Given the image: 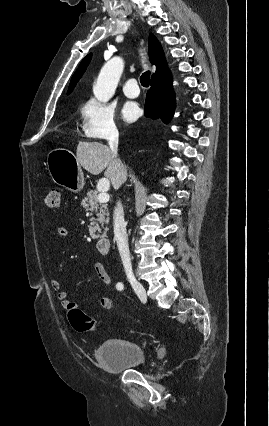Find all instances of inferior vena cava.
I'll return each instance as SVG.
<instances>
[{"mask_svg":"<svg viewBox=\"0 0 269 426\" xmlns=\"http://www.w3.org/2000/svg\"><path fill=\"white\" fill-rule=\"evenodd\" d=\"M118 131H112L108 138L110 150L112 151L115 158H117L118 150ZM120 168H123V164L119 161ZM114 234L117 241L118 250L124 265L125 272L127 275H132L131 258L128 247V237L126 232V223L124 220V211L120 201L117 202L114 210Z\"/></svg>","mask_w":269,"mask_h":426,"instance_id":"602c4592","label":"inferior vena cava"}]
</instances>
